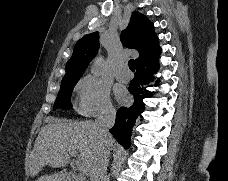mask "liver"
I'll return each instance as SVG.
<instances>
[{"label":"liver","mask_w":228,"mask_h":181,"mask_svg":"<svg viewBox=\"0 0 228 181\" xmlns=\"http://www.w3.org/2000/svg\"><path fill=\"white\" fill-rule=\"evenodd\" d=\"M45 127H42L35 145L29 157V173L30 177H37L43 167L49 165L52 169H61L56 175H44L42 179H50L55 181L58 177H66L65 169L70 161L69 153H79L77 155L79 163H85L88 169L91 167L93 155L97 153L101 139L96 133L94 123L92 121H61V119H46ZM108 145L113 147L115 143L113 137L108 135Z\"/></svg>","instance_id":"6515ba94"}]
</instances>
